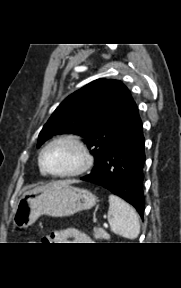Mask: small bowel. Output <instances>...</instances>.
I'll list each match as a JSON object with an SVG mask.
<instances>
[{
  "mask_svg": "<svg viewBox=\"0 0 181 288\" xmlns=\"http://www.w3.org/2000/svg\"><path fill=\"white\" fill-rule=\"evenodd\" d=\"M90 238L78 229H63L52 232L47 243H89Z\"/></svg>",
  "mask_w": 181,
  "mask_h": 288,
  "instance_id": "small-bowel-1",
  "label": "small bowel"
}]
</instances>
